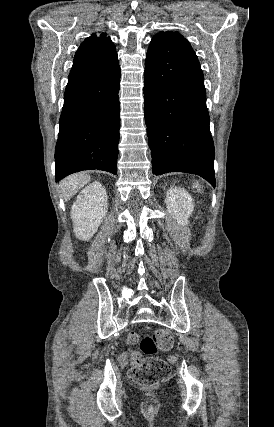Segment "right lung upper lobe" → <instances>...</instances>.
Instances as JSON below:
<instances>
[{
	"instance_id": "obj_1",
	"label": "right lung upper lobe",
	"mask_w": 274,
	"mask_h": 427,
	"mask_svg": "<svg viewBox=\"0 0 274 427\" xmlns=\"http://www.w3.org/2000/svg\"><path fill=\"white\" fill-rule=\"evenodd\" d=\"M118 62L114 44L106 34H92L80 45L75 54L68 79L97 74Z\"/></svg>"
}]
</instances>
